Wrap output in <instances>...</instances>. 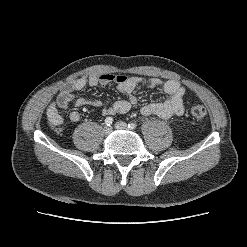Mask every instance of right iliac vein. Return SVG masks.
Masks as SVG:
<instances>
[{"mask_svg": "<svg viewBox=\"0 0 247 247\" xmlns=\"http://www.w3.org/2000/svg\"><path fill=\"white\" fill-rule=\"evenodd\" d=\"M103 132L105 135H109L112 132V127L111 126H105L103 128Z\"/></svg>", "mask_w": 247, "mask_h": 247, "instance_id": "63e3f726", "label": "right iliac vein"}]
</instances>
